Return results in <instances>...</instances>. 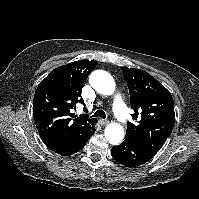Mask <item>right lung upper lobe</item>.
<instances>
[{
  "label": "right lung upper lobe",
  "instance_id": "1",
  "mask_svg": "<svg viewBox=\"0 0 199 199\" xmlns=\"http://www.w3.org/2000/svg\"><path fill=\"white\" fill-rule=\"evenodd\" d=\"M96 66V61H75L54 69L41 81L33 99V116L44 143L79 139L95 124L96 119L73 117L70 110L84 104L81 88Z\"/></svg>",
  "mask_w": 199,
  "mask_h": 199
}]
</instances>
